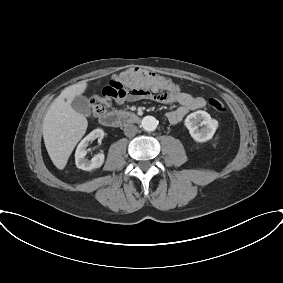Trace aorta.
I'll return each instance as SVG.
<instances>
[{"label": "aorta", "instance_id": "aorta-1", "mask_svg": "<svg viewBox=\"0 0 283 283\" xmlns=\"http://www.w3.org/2000/svg\"><path fill=\"white\" fill-rule=\"evenodd\" d=\"M158 121L153 116H145L142 119L141 126L146 131H154L157 128Z\"/></svg>", "mask_w": 283, "mask_h": 283}]
</instances>
